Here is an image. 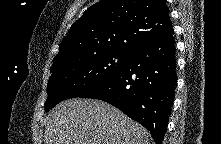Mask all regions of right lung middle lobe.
<instances>
[{
  "mask_svg": "<svg viewBox=\"0 0 221 144\" xmlns=\"http://www.w3.org/2000/svg\"><path fill=\"white\" fill-rule=\"evenodd\" d=\"M129 56L124 52H105L53 68L47 85L45 110L63 100L80 97L109 80L125 65Z\"/></svg>",
  "mask_w": 221,
  "mask_h": 144,
  "instance_id": "dd1d6c3e",
  "label": "right lung middle lobe"
}]
</instances>
